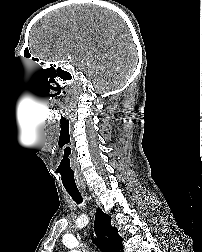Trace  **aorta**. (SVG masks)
Instances as JSON below:
<instances>
[{"label": "aorta", "mask_w": 202, "mask_h": 252, "mask_svg": "<svg viewBox=\"0 0 202 252\" xmlns=\"http://www.w3.org/2000/svg\"><path fill=\"white\" fill-rule=\"evenodd\" d=\"M70 252H77V251H75V250H72V251H70Z\"/></svg>", "instance_id": "obj_1"}]
</instances>
